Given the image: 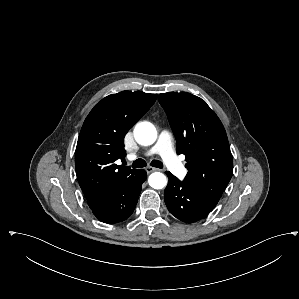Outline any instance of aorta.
Masks as SVG:
<instances>
[{"mask_svg": "<svg viewBox=\"0 0 299 299\" xmlns=\"http://www.w3.org/2000/svg\"><path fill=\"white\" fill-rule=\"evenodd\" d=\"M134 137L141 145H151L157 139V131L150 122H140L134 128ZM149 185L154 189H162L167 185L166 176L160 172H154L149 176Z\"/></svg>", "mask_w": 299, "mask_h": 299, "instance_id": "1", "label": "aorta"}]
</instances>
